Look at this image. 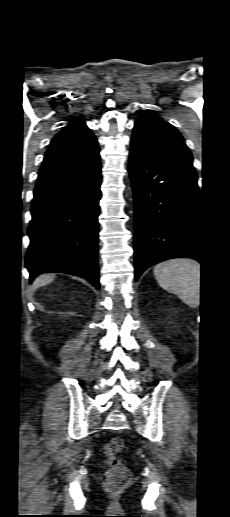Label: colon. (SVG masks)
Returning a JSON list of instances; mask_svg holds the SVG:
<instances>
[{
	"label": "colon",
	"instance_id": "obj_1",
	"mask_svg": "<svg viewBox=\"0 0 230 517\" xmlns=\"http://www.w3.org/2000/svg\"><path fill=\"white\" fill-rule=\"evenodd\" d=\"M124 449V441L120 437L112 438L104 446L108 470L104 477L105 489L110 493L123 490L131 481L129 469L116 457Z\"/></svg>",
	"mask_w": 230,
	"mask_h": 517
}]
</instances>
